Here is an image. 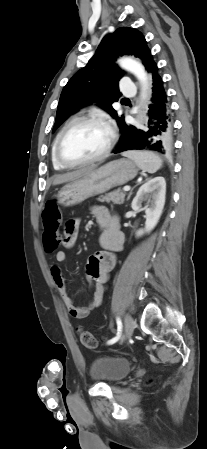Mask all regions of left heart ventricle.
<instances>
[{
	"label": "left heart ventricle",
	"mask_w": 207,
	"mask_h": 449,
	"mask_svg": "<svg viewBox=\"0 0 207 449\" xmlns=\"http://www.w3.org/2000/svg\"><path fill=\"white\" fill-rule=\"evenodd\" d=\"M109 133L95 124H80L73 127L61 145L63 157L69 161H81L99 155L107 146Z\"/></svg>",
	"instance_id": "obj_1"
}]
</instances>
